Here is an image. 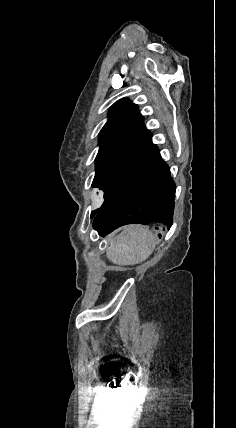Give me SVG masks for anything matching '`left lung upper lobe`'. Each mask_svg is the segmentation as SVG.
<instances>
[{"mask_svg": "<svg viewBox=\"0 0 236 428\" xmlns=\"http://www.w3.org/2000/svg\"><path fill=\"white\" fill-rule=\"evenodd\" d=\"M108 121L99 133L93 187L109 193L134 162L150 136L138 106L121 99L109 111Z\"/></svg>", "mask_w": 236, "mask_h": 428, "instance_id": "obj_1", "label": "left lung upper lobe"}]
</instances>
